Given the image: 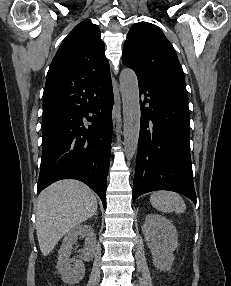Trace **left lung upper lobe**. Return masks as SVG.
<instances>
[{
	"instance_id": "left-lung-upper-lobe-1",
	"label": "left lung upper lobe",
	"mask_w": 231,
	"mask_h": 286,
	"mask_svg": "<svg viewBox=\"0 0 231 286\" xmlns=\"http://www.w3.org/2000/svg\"><path fill=\"white\" fill-rule=\"evenodd\" d=\"M122 62L135 71L139 81L187 93L176 52L153 24L139 22L130 28Z\"/></svg>"
}]
</instances>
